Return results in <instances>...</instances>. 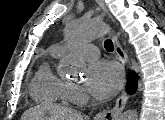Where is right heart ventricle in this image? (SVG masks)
<instances>
[{"label": "right heart ventricle", "instance_id": "e07e8e85", "mask_svg": "<svg viewBox=\"0 0 165 120\" xmlns=\"http://www.w3.org/2000/svg\"><path fill=\"white\" fill-rule=\"evenodd\" d=\"M62 56L57 48H52L41 61L30 84L32 97L39 102L66 103L71 100V86L55 71L54 61Z\"/></svg>", "mask_w": 165, "mask_h": 120}]
</instances>
